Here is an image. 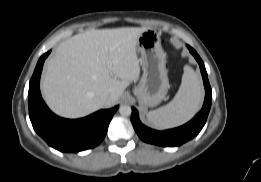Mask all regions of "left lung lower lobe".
<instances>
[{
    "mask_svg": "<svg viewBox=\"0 0 261 182\" xmlns=\"http://www.w3.org/2000/svg\"><path fill=\"white\" fill-rule=\"evenodd\" d=\"M187 47L197 60L202 73L205 86V100L203 107L201 111L185 125L166 131H156L143 125L139 120L138 111L135 108H132L131 122L136 133L144 142L164 147L180 146L181 144L194 138L206 123L211 107L212 90L208 81L207 72L203 61L193 48L190 46Z\"/></svg>",
    "mask_w": 261,
    "mask_h": 182,
    "instance_id": "left-lung-lower-lobe-1",
    "label": "left lung lower lobe"
}]
</instances>
